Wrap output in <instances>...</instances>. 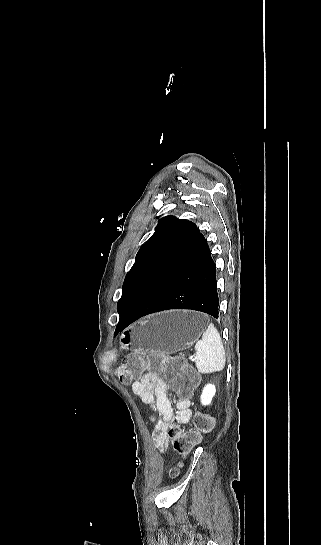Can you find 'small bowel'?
I'll return each mask as SVG.
<instances>
[{"mask_svg":"<svg viewBox=\"0 0 321 545\" xmlns=\"http://www.w3.org/2000/svg\"><path fill=\"white\" fill-rule=\"evenodd\" d=\"M133 392L147 405L158 417H152L154 425L152 439L155 446L161 451L167 447V428L172 422L186 424L191 417L189 398L175 397L173 403L168 397V383L164 377L142 375L132 383Z\"/></svg>","mask_w":321,"mask_h":545,"instance_id":"c3829d8e","label":"small bowel"}]
</instances>
